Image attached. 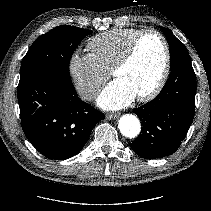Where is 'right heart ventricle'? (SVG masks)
I'll list each match as a JSON object with an SVG mask.
<instances>
[{
    "label": "right heart ventricle",
    "instance_id": "obj_1",
    "mask_svg": "<svg viewBox=\"0 0 211 211\" xmlns=\"http://www.w3.org/2000/svg\"><path fill=\"white\" fill-rule=\"evenodd\" d=\"M140 31L138 28L109 30L92 37L87 46L99 66L105 71H111Z\"/></svg>",
    "mask_w": 211,
    "mask_h": 211
}]
</instances>
